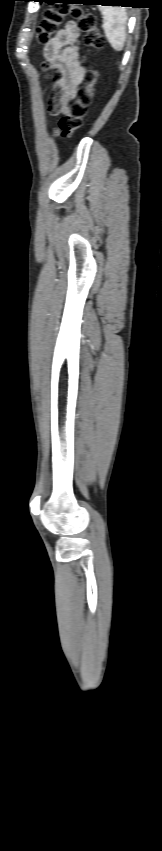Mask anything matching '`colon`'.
Wrapping results in <instances>:
<instances>
[{"instance_id":"obj_1","label":"colon","mask_w":162,"mask_h":851,"mask_svg":"<svg viewBox=\"0 0 162 851\" xmlns=\"http://www.w3.org/2000/svg\"><path fill=\"white\" fill-rule=\"evenodd\" d=\"M67 15H71L78 21L79 28L84 33V44L88 50H98L104 46L105 39L97 27L95 16L86 13L80 7H69L65 4H56L44 11L43 18L37 28V43L47 44L50 38L56 34ZM96 80L97 72L88 70L84 84L78 89L75 100L69 103L68 111L59 120L58 133L63 138L72 137L82 126L88 107L93 101V86Z\"/></svg>"}]
</instances>
